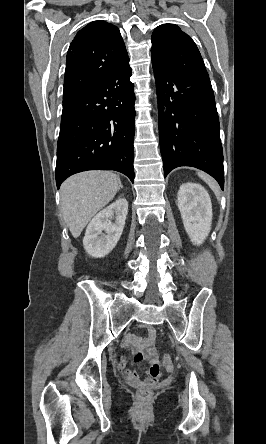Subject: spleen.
<instances>
[{"label":"spleen","mask_w":266,"mask_h":444,"mask_svg":"<svg viewBox=\"0 0 266 444\" xmlns=\"http://www.w3.org/2000/svg\"><path fill=\"white\" fill-rule=\"evenodd\" d=\"M198 176L209 185V187L213 190L217 197L220 196L219 186L210 176L202 172H198Z\"/></svg>","instance_id":"obj_1"}]
</instances>
